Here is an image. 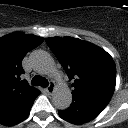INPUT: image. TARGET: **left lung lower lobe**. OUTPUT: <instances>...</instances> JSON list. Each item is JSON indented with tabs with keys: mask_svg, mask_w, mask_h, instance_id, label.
<instances>
[{
	"mask_svg": "<svg viewBox=\"0 0 128 128\" xmlns=\"http://www.w3.org/2000/svg\"><path fill=\"white\" fill-rule=\"evenodd\" d=\"M107 104L103 101L73 98L71 106L59 111V115L70 123L83 124L96 118Z\"/></svg>",
	"mask_w": 128,
	"mask_h": 128,
	"instance_id": "0a47b994",
	"label": "left lung lower lobe"
}]
</instances>
